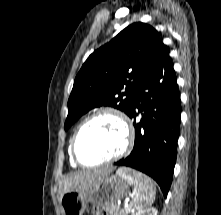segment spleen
Masks as SVG:
<instances>
[{"label":"spleen","mask_w":221,"mask_h":215,"mask_svg":"<svg viewBox=\"0 0 221 215\" xmlns=\"http://www.w3.org/2000/svg\"><path fill=\"white\" fill-rule=\"evenodd\" d=\"M117 174H122L121 170L117 171ZM126 179L134 185V191L132 194V200L130 206L137 211L143 210L154 202L155 199V187L152 180L149 177H145L142 181L133 179L128 174H124Z\"/></svg>","instance_id":"spleen-1"}]
</instances>
